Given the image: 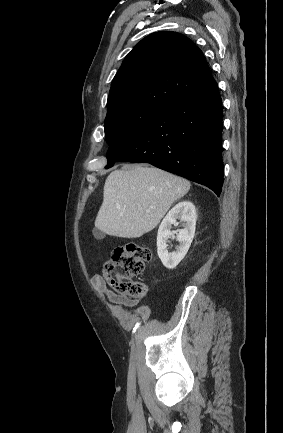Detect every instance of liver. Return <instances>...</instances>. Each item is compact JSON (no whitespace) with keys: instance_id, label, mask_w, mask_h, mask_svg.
Masks as SVG:
<instances>
[{"instance_id":"1","label":"liver","mask_w":283,"mask_h":433,"mask_svg":"<svg viewBox=\"0 0 283 433\" xmlns=\"http://www.w3.org/2000/svg\"><path fill=\"white\" fill-rule=\"evenodd\" d=\"M189 180L154 166L136 164L107 176L96 229L123 239H136L157 227L175 200L188 192Z\"/></svg>"}]
</instances>
